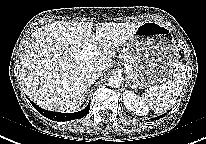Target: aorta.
<instances>
[{
  "label": "aorta",
  "mask_w": 206,
  "mask_h": 144,
  "mask_svg": "<svg viewBox=\"0 0 206 144\" xmlns=\"http://www.w3.org/2000/svg\"><path fill=\"white\" fill-rule=\"evenodd\" d=\"M121 82H122V79L119 77V76H117V75H113V76H110L109 78H108V85L110 86V87H114V88H118V87H120V85H121Z\"/></svg>",
  "instance_id": "obj_1"
}]
</instances>
